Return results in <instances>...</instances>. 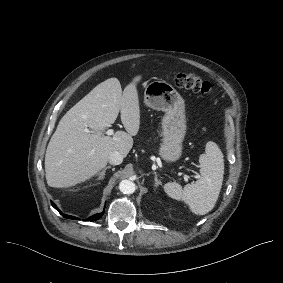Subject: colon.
Instances as JSON below:
<instances>
[{"mask_svg": "<svg viewBox=\"0 0 283 283\" xmlns=\"http://www.w3.org/2000/svg\"><path fill=\"white\" fill-rule=\"evenodd\" d=\"M171 80L178 88L196 93H208L211 89L208 81L192 72H181L172 75Z\"/></svg>", "mask_w": 283, "mask_h": 283, "instance_id": "1", "label": "colon"}]
</instances>
